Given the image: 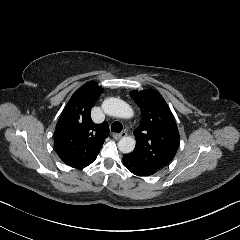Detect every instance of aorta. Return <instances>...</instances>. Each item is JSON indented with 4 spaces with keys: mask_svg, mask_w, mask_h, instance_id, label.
I'll list each match as a JSON object with an SVG mask.
<instances>
[{
    "mask_svg": "<svg viewBox=\"0 0 240 240\" xmlns=\"http://www.w3.org/2000/svg\"><path fill=\"white\" fill-rule=\"evenodd\" d=\"M102 110L106 115L120 117V118H130L133 115V110L129 104L125 101L110 97L106 98L102 102ZM136 141L130 136H124L118 142V149L122 153H130L135 148Z\"/></svg>",
    "mask_w": 240,
    "mask_h": 240,
    "instance_id": "aorta-1",
    "label": "aorta"
}]
</instances>
